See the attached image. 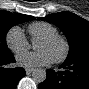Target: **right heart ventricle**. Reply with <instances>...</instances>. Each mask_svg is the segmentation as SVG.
<instances>
[{
    "instance_id": "right-heart-ventricle-1",
    "label": "right heart ventricle",
    "mask_w": 89,
    "mask_h": 89,
    "mask_svg": "<svg viewBox=\"0 0 89 89\" xmlns=\"http://www.w3.org/2000/svg\"><path fill=\"white\" fill-rule=\"evenodd\" d=\"M28 31L32 41L57 33V28L48 22H34L29 25Z\"/></svg>"
}]
</instances>
